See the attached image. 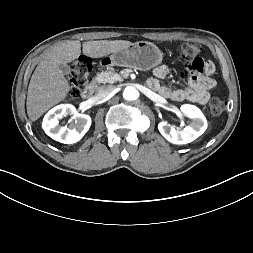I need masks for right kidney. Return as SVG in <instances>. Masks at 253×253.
<instances>
[{"label":"right kidney","mask_w":253,"mask_h":253,"mask_svg":"<svg viewBox=\"0 0 253 253\" xmlns=\"http://www.w3.org/2000/svg\"><path fill=\"white\" fill-rule=\"evenodd\" d=\"M73 115L68 126H59V119ZM43 129L52 139L65 144L78 142L91 126V117L79 114L71 104H61L52 108L43 119Z\"/></svg>","instance_id":"ca27d5eb"}]
</instances>
